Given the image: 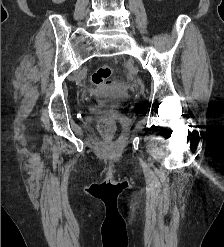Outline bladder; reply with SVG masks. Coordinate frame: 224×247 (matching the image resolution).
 I'll use <instances>...</instances> for the list:
<instances>
[{
  "instance_id": "obj_1",
  "label": "bladder",
  "mask_w": 224,
  "mask_h": 247,
  "mask_svg": "<svg viewBox=\"0 0 224 247\" xmlns=\"http://www.w3.org/2000/svg\"><path fill=\"white\" fill-rule=\"evenodd\" d=\"M96 100L103 106L113 107L122 112L128 107L131 101V95L127 91L121 89L114 97L106 98L103 96H98L96 97Z\"/></svg>"
}]
</instances>
